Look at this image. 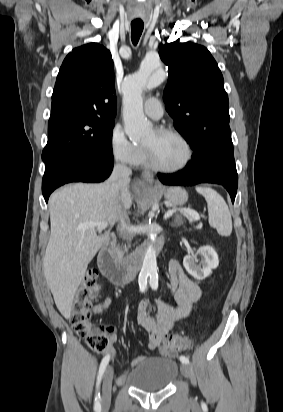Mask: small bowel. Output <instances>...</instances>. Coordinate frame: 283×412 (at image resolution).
I'll return each instance as SVG.
<instances>
[{
	"instance_id": "obj_1",
	"label": "small bowel",
	"mask_w": 283,
	"mask_h": 412,
	"mask_svg": "<svg viewBox=\"0 0 283 412\" xmlns=\"http://www.w3.org/2000/svg\"><path fill=\"white\" fill-rule=\"evenodd\" d=\"M168 288L174 293L176 305L166 300H158L155 308L149 301H141L137 308V321L149 334L147 347L150 351H157L160 356H174L175 352H168L161 346L162 340L173 328L175 323L189 315L193 304L201 298V289L182 269L177 260H172L168 266ZM113 302L112 297H106L101 303L96 304L92 311L94 314L103 313ZM109 334V344L106 353L115 356V344L118 336L113 326L103 327ZM146 360L145 356L135 358L130 366H137ZM126 370H122L116 381L123 383Z\"/></svg>"
}]
</instances>
